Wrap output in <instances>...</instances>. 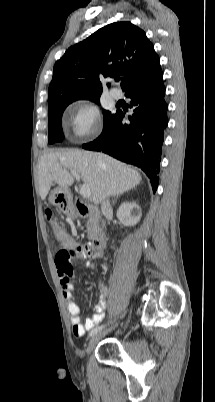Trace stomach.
I'll return each instance as SVG.
<instances>
[{"mask_svg": "<svg viewBox=\"0 0 215 402\" xmlns=\"http://www.w3.org/2000/svg\"><path fill=\"white\" fill-rule=\"evenodd\" d=\"M49 200L52 205L59 208L64 214L70 215L73 212L71 194L68 189L54 188L50 193Z\"/></svg>", "mask_w": 215, "mask_h": 402, "instance_id": "obj_1", "label": "stomach"}]
</instances>
